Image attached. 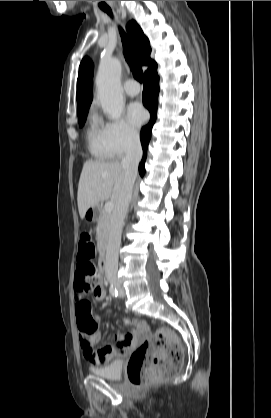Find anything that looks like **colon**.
Returning a JSON list of instances; mask_svg holds the SVG:
<instances>
[{"label":"colon","mask_w":271,"mask_h":418,"mask_svg":"<svg viewBox=\"0 0 271 418\" xmlns=\"http://www.w3.org/2000/svg\"><path fill=\"white\" fill-rule=\"evenodd\" d=\"M95 252L91 234L82 231L78 261L90 262ZM182 360L183 351L178 337L169 329L160 328L132 353L127 366L128 378L136 387L162 380L175 374Z\"/></svg>","instance_id":"colon-1"}]
</instances>
